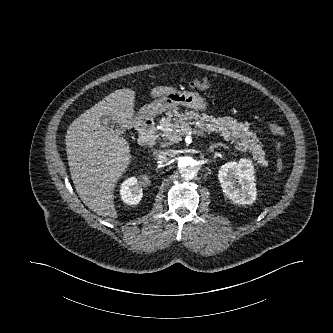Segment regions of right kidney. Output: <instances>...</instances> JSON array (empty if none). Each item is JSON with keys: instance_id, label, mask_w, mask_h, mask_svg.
I'll return each mask as SVG.
<instances>
[{"instance_id": "right-kidney-1", "label": "right kidney", "mask_w": 333, "mask_h": 333, "mask_svg": "<svg viewBox=\"0 0 333 333\" xmlns=\"http://www.w3.org/2000/svg\"><path fill=\"white\" fill-rule=\"evenodd\" d=\"M121 199L128 205H135L140 202L143 197V191L138 184L137 179L132 177L127 179L121 186Z\"/></svg>"}]
</instances>
